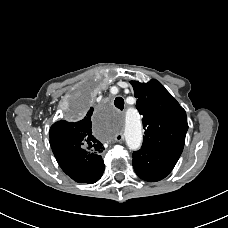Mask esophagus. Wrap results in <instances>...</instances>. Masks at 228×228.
Masks as SVG:
<instances>
[{"mask_svg": "<svg viewBox=\"0 0 228 228\" xmlns=\"http://www.w3.org/2000/svg\"><path fill=\"white\" fill-rule=\"evenodd\" d=\"M123 139H124V135L122 133H118L115 135V140L117 142H121V141H123Z\"/></svg>", "mask_w": 228, "mask_h": 228, "instance_id": "obj_1", "label": "esophagus"}]
</instances>
